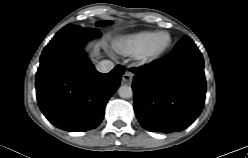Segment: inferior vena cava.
<instances>
[{
    "label": "inferior vena cava",
    "mask_w": 248,
    "mask_h": 158,
    "mask_svg": "<svg viewBox=\"0 0 248 158\" xmlns=\"http://www.w3.org/2000/svg\"><path fill=\"white\" fill-rule=\"evenodd\" d=\"M114 66L115 65L112 61L102 60L97 64L96 69L101 73H108L114 68Z\"/></svg>",
    "instance_id": "inferior-vena-cava-1"
}]
</instances>
